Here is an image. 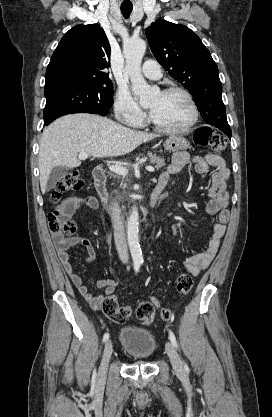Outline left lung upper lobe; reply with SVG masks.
<instances>
[{
	"mask_svg": "<svg viewBox=\"0 0 272 417\" xmlns=\"http://www.w3.org/2000/svg\"><path fill=\"white\" fill-rule=\"evenodd\" d=\"M146 37L163 68L190 91L203 119L221 131H231L218 67L200 38L186 26L163 19L146 29Z\"/></svg>",
	"mask_w": 272,
	"mask_h": 417,
	"instance_id": "5c2ea615",
	"label": "left lung upper lobe"
}]
</instances>
